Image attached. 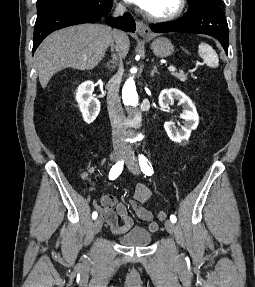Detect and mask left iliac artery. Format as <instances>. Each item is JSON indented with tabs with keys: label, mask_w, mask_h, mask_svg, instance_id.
I'll return each mask as SVG.
<instances>
[{
	"label": "left iliac artery",
	"mask_w": 255,
	"mask_h": 287,
	"mask_svg": "<svg viewBox=\"0 0 255 287\" xmlns=\"http://www.w3.org/2000/svg\"><path fill=\"white\" fill-rule=\"evenodd\" d=\"M139 164L141 171L148 176H151L153 174V168L151 163L146 159L144 155H139ZM170 220L175 223L176 222V216L171 215Z\"/></svg>",
	"instance_id": "obj_1"
}]
</instances>
